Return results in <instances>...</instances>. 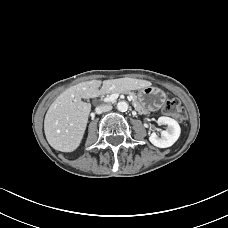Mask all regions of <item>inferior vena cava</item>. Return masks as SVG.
Masks as SVG:
<instances>
[{"label": "inferior vena cava", "instance_id": "1", "mask_svg": "<svg viewBox=\"0 0 228 228\" xmlns=\"http://www.w3.org/2000/svg\"><path fill=\"white\" fill-rule=\"evenodd\" d=\"M112 109V106L109 104L106 105H100L98 107H96V112L98 113H103V112H108Z\"/></svg>", "mask_w": 228, "mask_h": 228}]
</instances>
